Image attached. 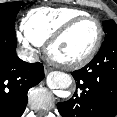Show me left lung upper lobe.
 <instances>
[{"mask_svg": "<svg viewBox=\"0 0 117 117\" xmlns=\"http://www.w3.org/2000/svg\"><path fill=\"white\" fill-rule=\"evenodd\" d=\"M103 29L106 33L105 38L112 35V33L117 32V24L113 20L104 21L103 22Z\"/></svg>", "mask_w": 117, "mask_h": 117, "instance_id": "1", "label": "left lung upper lobe"}]
</instances>
